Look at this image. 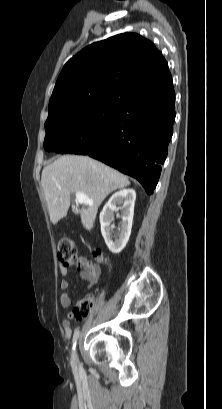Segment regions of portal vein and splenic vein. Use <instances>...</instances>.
Returning <instances> with one entry per match:
<instances>
[{
    "label": "portal vein and splenic vein",
    "instance_id": "1",
    "mask_svg": "<svg viewBox=\"0 0 222 409\" xmlns=\"http://www.w3.org/2000/svg\"><path fill=\"white\" fill-rule=\"evenodd\" d=\"M76 200L80 204H88L91 205L93 204V200H91L87 195H85L82 192H76Z\"/></svg>",
    "mask_w": 222,
    "mask_h": 409
}]
</instances>
